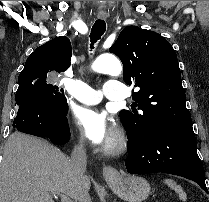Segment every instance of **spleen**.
<instances>
[{
    "label": "spleen",
    "mask_w": 209,
    "mask_h": 202,
    "mask_svg": "<svg viewBox=\"0 0 209 202\" xmlns=\"http://www.w3.org/2000/svg\"><path fill=\"white\" fill-rule=\"evenodd\" d=\"M164 183L170 187L171 189H173L179 196V198L183 201H186L187 199V194L185 193V191L183 190V188L181 187V185H178L174 180L172 179H164Z\"/></svg>",
    "instance_id": "3e777b00"
}]
</instances>
